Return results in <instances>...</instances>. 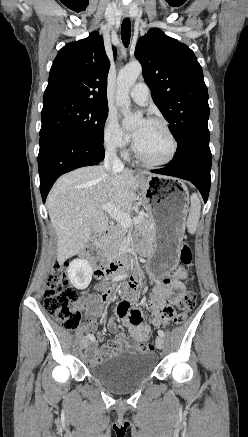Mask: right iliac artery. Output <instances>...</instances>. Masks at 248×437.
<instances>
[{"label": "right iliac artery", "mask_w": 248, "mask_h": 437, "mask_svg": "<svg viewBox=\"0 0 248 437\" xmlns=\"http://www.w3.org/2000/svg\"><path fill=\"white\" fill-rule=\"evenodd\" d=\"M126 277V275H119V276H117V277H115L113 280H121V279H123V278H125ZM88 337H89V339L91 340V341H94L95 340V337L93 336V335H91V334H88Z\"/></svg>", "instance_id": "obj_1"}]
</instances>
